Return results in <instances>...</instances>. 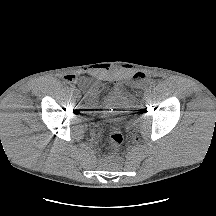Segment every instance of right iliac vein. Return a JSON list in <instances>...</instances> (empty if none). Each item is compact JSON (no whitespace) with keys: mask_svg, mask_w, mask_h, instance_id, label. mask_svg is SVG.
<instances>
[{"mask_svg":"<svg viewBox=\"0 0 216 216\" xmlns=\"http://www.w3.org/2000/svg\"><path fill=\"white\" fill-rule=\"evenodd\" d=\"M72 94L77 96L79 93L77 90L74 89V92H72Z\"/></svg>","mask_w":216,"mask_h":216,"instance_id":"right-iliac-vein-1","label":"right iliac vein"}]
</instances>
